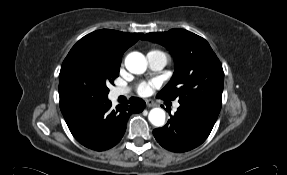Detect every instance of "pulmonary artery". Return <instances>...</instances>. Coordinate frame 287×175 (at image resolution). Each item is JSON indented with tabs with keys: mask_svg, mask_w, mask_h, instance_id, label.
Segmentation results:
<instances>
[{
	"mask_svg": "<svg viewBox=\"0 0 287 175\" xmlns=\"http://www.w3.org/2000/svg\"><path fill=\"white\" fill-rule=\"evenodd\" d=\"M149 67L152 70L158 71L163 69L168 63V56L166 53L160 50H151L146 55ZM128 91L124 88H114L112 91L113 97H119L121 95H125ZM179 107V103H175L174 108L177 109Z\"/></svg>",
	"mask_w": 287,
	"mask_h": 175,
	"instance_id": "e3ab8cb5",
	"label": "pulmonary artery"
}]
</instances>
